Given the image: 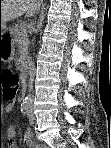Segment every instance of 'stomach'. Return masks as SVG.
<instances>
[{
    "mask_svg": "<svg viewBox=\"0 0 111 148\" xmlns=\"http://www.w3.org/2000/svg\"><path fill=\"white\" fill-rule=\"evenodd\" d=\"M4 32L2 33V35ZM15 55L14 43L9 40L4 42L0 41V61L10 62L13 60Z\"/></svg>",
    "mask_w": 111,
    "mask_h": 148,
    "instance_id": "0dacf381",
    "label": "stomach"
}]
</instances>
